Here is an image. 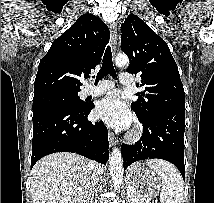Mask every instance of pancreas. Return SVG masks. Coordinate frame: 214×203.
Masks as SVG:
<instances>
[{
	"mask_svg": "<svg viewBox=\"0 0 214 203\" xmlns=\"http://www.w3.org/2000/svg\"><path fill=\"white\" fill-rule=\"evenodd\" d=\"M129 199L130 203H148L146 199H142L140 196H137L135 192L133 193V196H131V198Z\"/></svg>",
	"mask_w": 214,
	"mask_h": 203,
	"instance_id": "cf45deb5",
	"label": "pancreas"
}]
</instances>
